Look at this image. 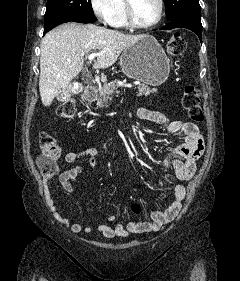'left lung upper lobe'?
Masks as SVG:
<instances>
[{
    "label": "left lung upper lobe",
    "instance_id": "5c2ea615",
    "mask_svg": "<svg viewBox=\"0 0 240 281\" xmlns=\"http://www.w3.org/2000/svg\"><path fill=\"white\" fill-rule=\"evenodd\" d=\"M169 21L184 15L200 16L199 0H164Z\"/></svg>",
    "mask_w": 240,
    "mask_h": 281
}]
</instances>
